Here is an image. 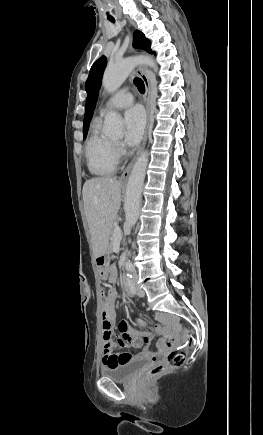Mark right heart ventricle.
<instances>
[{
    "mask_svg": "<svg viewBox=\"0 0 263 435\" xmlns=\"http://www.w3.org/2000/svg\"><path fill=\"white\" fill-rule=\"evenodd\" d=\"M116 145L101 132V118L96 117L85 145L86 164L89 172L97 177L115 173L118 164Z\"/></svg>",
    "mask_w": 263,
    "mask_h": 435,
    "instance_id": "obj_1",
    "label": "right heart ventricle"
}]
</instances>
